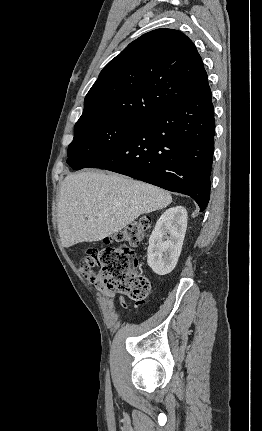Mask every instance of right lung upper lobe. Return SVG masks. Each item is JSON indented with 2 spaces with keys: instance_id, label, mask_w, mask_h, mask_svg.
I'll use <instances>...</instances> for the list:
<instances>
[{
  "instance_id": "obj_1",
  "label": "right lung upper lobe",
  "mask_w": 262,
  "mask_h": 431,
  "mask_svg": "<svg viewBox=\"0 0 262 431\" xmlns=\"http://www.w3.org/2000/svg\"><path fill=\"white\" fill-rule=\"evenodd\" d=\"M207 87V73L192 41L177 30H153L131 42L103 68L76 124L143 120Z\"/></svg>"
}]
</instances>
